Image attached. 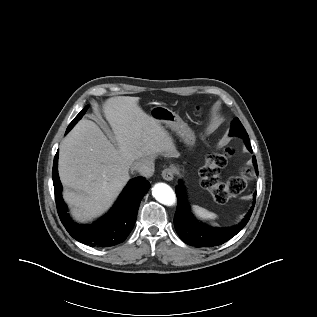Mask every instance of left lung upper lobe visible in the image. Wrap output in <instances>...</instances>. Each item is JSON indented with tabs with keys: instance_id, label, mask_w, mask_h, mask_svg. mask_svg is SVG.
Masks as SVG:
<instances>
[{
	"instance_id": "left-lung-upper-lobe-1",
	"label": "left lung upper lobe",
	"mask_w": 317,
	"mask_h": 317,
	"mask_svg": "<svg viewBox=\"0 0 317 317\" xmlns=\"http://www.w3.org/2000/svg\"><path fill=\"white\" fill-rule=\"evenodd\" d=\"M230 136H239L242 137L245 142H249L248 134L238 118H234L232 122Z\"/></svg>"
}]
</instances>
